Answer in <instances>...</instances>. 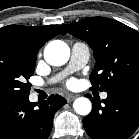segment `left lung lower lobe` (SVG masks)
<instances>
[{
    "mask_svg": "<svg viewBox=\"0 0 139 139\" xmlns=\"http://www.w3.org/2000/svg\"><path fill=\"white\" fill-rule=\"evenodd\" d=\"M104 100L91 97L93 109L83 119L92 139H127L139 126V79L107 92Z\"/></svg>",
    "mask_w": 139,
    "mask_h": 139,
    "instance_id": "1",
    "label": "left lung lower lobe"
}]
</instances>
